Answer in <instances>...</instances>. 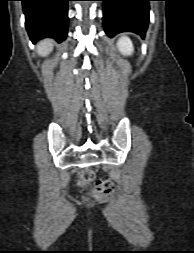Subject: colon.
Here are the masks:
<instances>
[{
    "label": "colon",
    "mask_w": 194,
    "mask_h": 253,
    "mask_svg": "<svg viewBox=\"0 0 194 253\" xmlns=\"http://www.w3.org/2000/svg\"><path fill=\"white\" fill-rule=\"evenodd\" d=\"M78 185L86 187L89 198H106L114 192V183L109 179H98L94 181V173L90 169L83 170L78 178Z\"/></svg>",
    "instance_id": "colon-1"
}]
</instances>
